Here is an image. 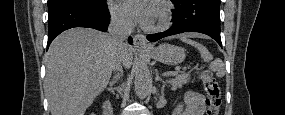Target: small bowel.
<instances>
[{"instance_id": "small-bowel-1", "label": "small bowel", "mask_w": 285, "mask_h": 115, "mask_svg": "<svg viewBox=\"0 0 285 115\" xmlns=\"http://www.w3.org/2000/svg\"><path fill=\"white\" fill-rule=\"evenodd\" d=\"M205 111L204 97L197 92L188 91L181 103L173 110L174 115H203Z\"/></svg>"}]
</instances>
